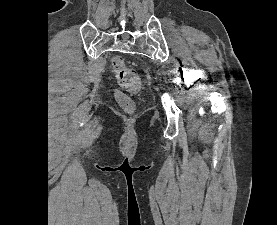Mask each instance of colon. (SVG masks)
Here are the masks:
<instances>
[{"label": "colon", "instance_id": "colon-1", "mask_svg": "<svg viewBox=\"0 0 277 225\" xmlns=\"http://www.w3.org/2000/svg\"><path fill=\"white\" fill-rule=\"evenodd\" d=\"M112 66L119 84L114 93L115 99L125 112L132 113L136 105L126 90L136 92L140 89L141 82L139 75L134 68L125 63L121 56L113 58Z\"/></svg>", "mask_w": 277, "mask_h": 225}]
</instances>
